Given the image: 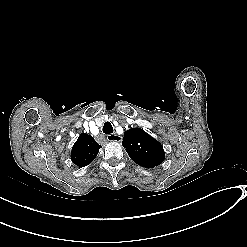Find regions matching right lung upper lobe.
I'll return each instance as SVG.
<instances>
[{
	"instance_id": "cb5924a9",
	"label": "right lung upper lobe",
	"mask_w": 247,
	"mask_h": 247,
	"mask_svg": "<svg viewBox=\"0 0 247 247\" xmlns=\"http://www.w3.org/2000/svg\"><path fill=\"white\" fill-rule=\"evenodd\" d=\"M101 146L88 134L81 133L71 151V160L79 167L89 165L97 156Z\"/></svg>"
}]
</instances>
